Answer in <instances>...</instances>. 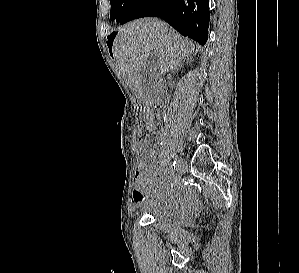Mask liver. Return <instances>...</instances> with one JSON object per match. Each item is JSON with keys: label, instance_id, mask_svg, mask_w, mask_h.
I'll use <instances>...</instances> for the list:
<instances>
[{"label": "liver", "instance_id": "1", "mask_svg": "<svg viewBox=\"0 0 299 273\" xmlns=\"http://www.w3.org/2000/svg\"><path fill=\"white\" fill-rule=\"evenodd\" d=\"M194 50L193 41L154 18L137 19L122 26L113 43L116 65L138 98L143 94L141 71L150 54H157L155 67L165 74L177 68Z\"/></svg>", "mask_w": 299, "mask_h": 273}]
</instances>
